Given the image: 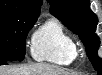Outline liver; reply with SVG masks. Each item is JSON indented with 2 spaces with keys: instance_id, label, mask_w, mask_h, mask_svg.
I'll return each instance as SVG.
<instances>
[{
  "instance_id": "6515ba94",
  "label": "liver",
  "mask_w": 102,
  "mask_h": 75,
  "mask_svg": "<svg viewBox=\"0 0 102 75\" xmlns=\"http://www.w3.org/2000/svg\"><path fill=\"white\" fill-rule=\"evenodd\" d=\"M0 75H77L49 64H32L29 66H1Z\"/></svg>"
}]
</instances>
